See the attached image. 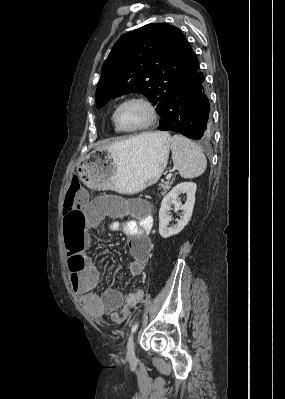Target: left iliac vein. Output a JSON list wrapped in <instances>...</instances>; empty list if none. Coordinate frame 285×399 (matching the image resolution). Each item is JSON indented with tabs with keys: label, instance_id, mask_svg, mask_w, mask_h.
Here are the masks:
<instances>
[{
	"label": "left iliac vein",
	"instance_id": "4c4485c4",
	"mask_svg": "<svg viewBox=\"0 0 285 399\" xmlns=\"http://www.w3.org/2000/svg\"><path fill=\"white\" fill-rule=\"evenodd\" d=\"M135 353H134V335L132 334L129 337L128 343H127V358L132 359L134 358Z\"/></svg>",
	"mask_w": 285,
	"mask_h": 399
}]
</instances>
